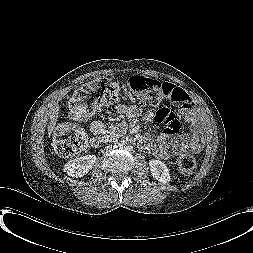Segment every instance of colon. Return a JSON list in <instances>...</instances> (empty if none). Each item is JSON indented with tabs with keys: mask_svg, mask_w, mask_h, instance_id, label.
<instances>
[{
	"mask_svg": "<svg viewBox=\"0 0 253 253\" xmlns=\"http://www.w3.org/2000/svg\"><path fill=\"white\" fill-rule=\"evenodd\" d=\"M130 90L150 105L174 101L176 87L170 83L135 75L129 79ZM122 86L111 79H99L82 86L70 100L68 113L75 118H83L101 107L113 104L122 96ZM86 136L70 123L59 125L55 131L53 148L61 157H70L82 152L86 146ZM177 167L183 174H190L196 167V157L189 153L180 154Z\"/></svg>",
	"mask_w": 253,
	"mask_h": 253,
	"instance_id": "colon-1",
	"label": "colon"
}]
</instances>
